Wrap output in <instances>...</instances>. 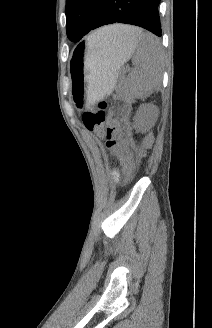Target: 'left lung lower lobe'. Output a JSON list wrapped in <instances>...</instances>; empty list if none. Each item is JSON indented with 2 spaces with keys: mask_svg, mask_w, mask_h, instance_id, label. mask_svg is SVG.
I'll use <instances>...</instances> for the list:
<instances>
[{
  "mask_svg": "<svg viewBox=\"0 0 212 328\" xmlns=\"http://www.w3.org/2000/svg\"><path fill=\"white\" fill-rule=\"evenodd\" d=\"M160 0H103L91 30L112 23L140 26L161 36Z\"/></svg>",
  "mask_w": 212,
  "mask_h": 328,
  "instance_id": "1",
  "label": "left lung lower lobe"
}]
</instances>
